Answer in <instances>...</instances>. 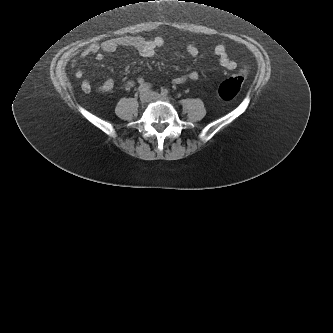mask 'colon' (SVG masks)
Instances as JSON below:
<instances>
[{"label":"colon","instance_id":"colon-1","mask_svg":"<svg viewBox=\"0 0 333 333\" xmlns=\"http://www.w3.org/2000/svg\"><path fill=\"white\" fill-rule=\"evenodd\" d=\"M244 79L243 74H237L224 80L218 87L219 96L224 100L235 98L243 86Z\"/></svg>","mask_w":333,"mask_h":333}]
</instances>
